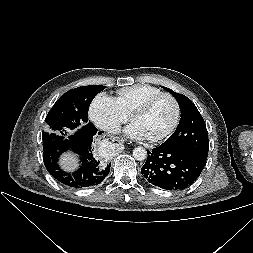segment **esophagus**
<instances>
[{"mask_svg":"<svg viewBox=\"0 0 253 253\" xmlns=\"http://www.w3.org/2000/svg\"><path fill=\"white\" fill-rule=\"evenodd\" d=\"M112 140H113V142H116L117 144L122 143V140H120V138H113Z\"/></svg>","mask_w":253,"mask_h":253,"instance_id":"obj_1","label":"esophagus"}]
</instances>
